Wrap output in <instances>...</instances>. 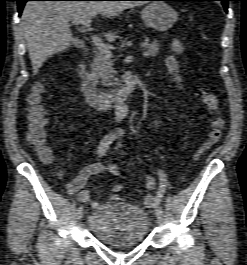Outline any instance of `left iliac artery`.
I'll use <instances>...</instances> for the list:
<instances>
[{"label":"left iliac artery","instance_id":"44dca946","mask_svg":"<svg viewBox=\"0 0 247 265\" xmlns=\"http://www.w3.org/2000/svg\"><path fill=\"white\" fill-rule=\"evenodd\" d=\"M120 146V144H118V147ZM159 174V179H160V188L159 191L155 197V201H154V207L155 209H161L162 207L160 206V202L162 200L163 194L165 192V187H166V183H167V176L164 173L163 170H159L158 171Z\"/></svg>","mask_w":247,"mask_h":265}]
</instances>
